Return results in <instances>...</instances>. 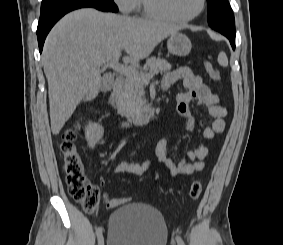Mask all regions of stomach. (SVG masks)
Masks as SVG:
<instances>
[{"instance_id": "0dacf381", "label": "stomach", "mask_w": 283, "mask_h": 245, "mask_svg": "<svg viewBox=\"0 0 283 245\" xmlns=\"http://www.w3.org/2000/svg\"><path fill=\"white\" fill-rule=\"evenodd\" d=\"M168 52L177 56H186L190 53L192 44L190 39L179 31L170 35L167 41Z\"/></svg>"}]
</instances>
